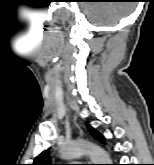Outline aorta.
<instances>
[{
    "mask_svg": "<svg viewBox=\"0 0 154 165\" xmlns=\"http://www.w3.org/2000/svg\"><path fill=\"white\" fill-rule=\"evenodd\" d=\"M83 154H88L93 164H111L109 154L94 144L75 141L62 146L60 150L61 158L64 160H72Z\"/></svg>",
    "mask_w": 154,
    "mask_h": 165,
    "instance_id": "aorta-1",
    "label": "aorta"
}]
</instances>
